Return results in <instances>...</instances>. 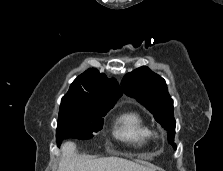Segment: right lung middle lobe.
Wrapping results in <instances>:
<instances>
[{"mask_svg":"<svg viewBox=\"0 0 223 171\" xmlns=\"http://www.w3.org/2000/svg\"><path fill=\"white\" fill-rule=\"evenodd\" d=\"M113 106L61 105L56 130L59 145L64 139L87 140L102 129L103 116Z\"/></svg>","mask_w":223,"mask_h":171,"instance_id":"dd1d6c3e","label":"right lung middle lobe"}]
</instances>
